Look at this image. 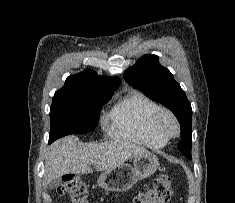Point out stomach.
I'll list each match as a JSON object with an SVG mask.
<instances>
[{
	"instance_id": "stomach-1",
	"label": "stomach",
	"mask_w": 235,
	"mask_h": 203,
	"mask_svg": "<svg viewBox=\"0 0 235 203\" xmlns=\"http://www.w3.org/2000/svg\"><path fill=\"white\" fill-rule=\"evenodd\" d=\"M159 166L158 158L146 151L134 156L133 166L121 164L102 173L97 183L106 191L125 192L140 179L150 177Z\"/></svg>"
}]
</instances>
